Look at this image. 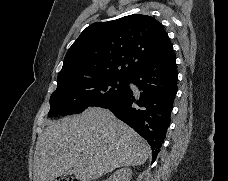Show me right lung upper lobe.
I'll use <instances>...</instances> for the list:
<instances>
[{"label": "right lung upper lobe", "instance_id": "cb5924a9", "mask_svg": "<svg viewBox=\"0 0 228 181\" xmlns=\"http://www.w3.org/2000/svg\"><path fill=\"white\" fill-rule=\"evenodd\" d=\"M173 46L160 22L134 14L88 26L69 48L58 86L105 75L131 76Z\"/></svg>", "mask_w": 228, "mask_h": 181}]
</instances>
